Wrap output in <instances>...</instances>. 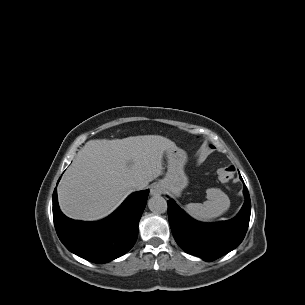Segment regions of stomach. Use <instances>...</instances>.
Returning a JSON list of instances; mask_svg holds the SVG:
<instances>
[{"instance_id": "stomach-1", "label": "stomach", "mask_w": 305, "mask_h": 305, "mask_svg": "<svg viewBox=\"0 0 305 305\" xmlns=\"http://www.w3.org/2000/svg\"><path fill=\"white\" fill-rule=\"evenodd\" d=\"M167 173L159 181L163 191L173 196H180L182 190L188 185V177L184 172L187 154L184 150L176 147L166 151Z\"/></svg>"}]
</instances>
